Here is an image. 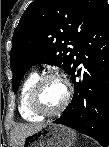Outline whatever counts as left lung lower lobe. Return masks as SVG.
Wrapping results in <instances>:
<instances>
[{
    "label": "left lung lower lobe",
    "mask_w": 109,
    "mask_h": 147,
    "mask_svg": "<svg viewBox=\"0 0 109 147\" xmlns=\"http://www.w3.org/2000/svg\"><path fill=\"white\" fill-rule=\"evenodd\" d=\"M83 64V69L80 64ZM101 76V86L88 90V75ZM71 79L75 92L64 114L53 121L109 144V5L106 3L82 36Z\"/></svg>",
    "instance_id": "0a47b994"
}]
</instances>
